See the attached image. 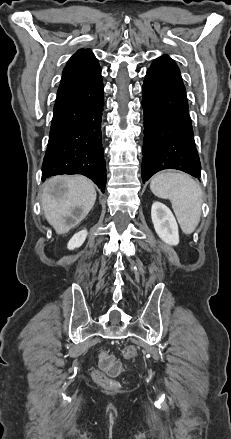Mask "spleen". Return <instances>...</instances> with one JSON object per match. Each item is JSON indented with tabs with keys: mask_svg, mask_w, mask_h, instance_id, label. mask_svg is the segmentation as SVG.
Returning a JSON list of instances; mask_svg holds the SVG:
<instances>
[{
	"mask_svg": "<svg viewBox=\"0 0 231 439\" xmlns=\"http://www.w3.org/2000/svg\"><path fill=\"white\" fill-rule=\"evenodd\" d=\"M150 189L159 198L169 199L185 234H191L200 221L202 191L189 175L160 173L153 177Z\"/></svg>",
	"mask_w": 231,
	"mask_h": 439,
	"instance_id": "spleen-1",
	"label": "spleen"
}]
</instances>
